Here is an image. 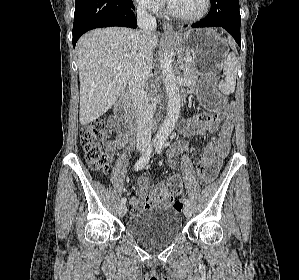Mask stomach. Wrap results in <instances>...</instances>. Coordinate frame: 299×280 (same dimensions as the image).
Masks as SVG:
<instances>
[{"mask_svg": "<svg viewBox=\"0 0 299 280\" xmlns=\"http://www.w3.org/2000/svg\"><path fill=\"white\" fill-rule=\"evenodd\" d=\"M174 39L179 47L193 56L198 75L201 76L196 84L200 100L210 110L219 108L222 99L214 77L222 70L229 55L227 41L210 28L190 29L177 33Z\"/></svg>", "mask_w": 299, "mask_h": 280, "instance_id": "stomach-1", "label": "stomach"}]
</instances>
